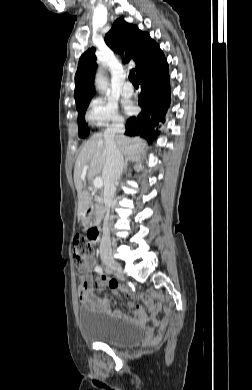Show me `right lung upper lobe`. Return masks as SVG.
I'll return each mask as SVG.
<instances>
[{"label": "right lung upper lobe", "instance_id": "cb5924a9", "mask_svg": "<svg viewBox=\"0 0 252 390\" xmlns=\"http://www.w3.org/2000/svg\"><path fill=\"white\" fill-rule=\"evenodd\" d=\"M106 44L117 53L123 49L127 58L133 59L137 79L144 73L159 70L167 65L163 52L148 33L141 32L136 26L117 19L111 30L105 35ZM97 68L95 48L86 51L80 58L75 74L74 98L77 109L89 104L94 95V74Z\"/></svg>", "mask_w": 252, "mask_h": 390}]
</instances>
